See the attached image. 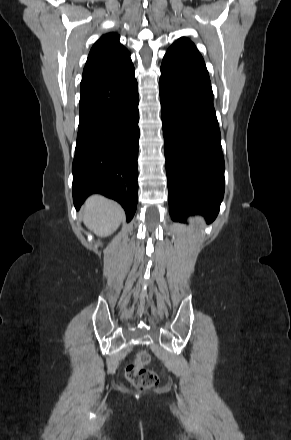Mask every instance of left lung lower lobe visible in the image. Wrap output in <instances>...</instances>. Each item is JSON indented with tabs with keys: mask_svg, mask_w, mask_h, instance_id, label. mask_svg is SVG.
<instances>
[{
	"mask_svg": "<svg viewBox=\"0 0 291 440\" xmlns=\"http://www.w3.org/2000/svg\"><path fill=\"white\" fill-rule=\"evenodd\" d=\"M169 212L212 222L224 195V158L205 63L165 54L159 80Z\"/></svg>",
	"mask_w": 291,
	"mask_h": 440,
	"instance_id": "obj_1",
	"label": "left lung lower lobe"
}]
</instances>
